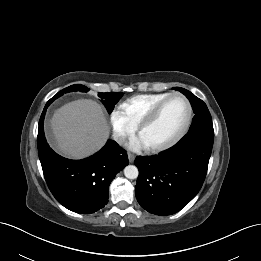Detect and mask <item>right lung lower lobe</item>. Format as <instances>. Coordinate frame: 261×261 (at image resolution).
<instances>
[{"instance_id":"obj_1","label":"right lung lower lobe","mask_w":261,"mask_h":261,"mask_svg":"<svg viewBox=\"0 0 261 261\" xmlns=\"http://www.w3.org/2000/svg\"><path fill=\"white\" fill-rule=\"evenodd\" d=\"M39 120L37 146L47 185L56 200L77 213H94L108 202V189L116 174L128 165L127 153L115 141L108 140L96 154L82 160H69L48 145L43 130L47 107Z\"/></svg>"}]
</instances>
